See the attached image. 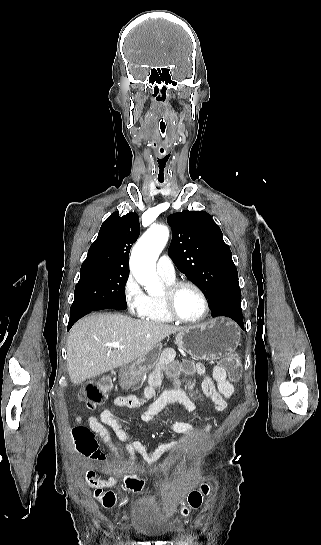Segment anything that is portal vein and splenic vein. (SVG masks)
<instances>
[{
	"label": "portal vein and splenic vein",
	"instance_id": "18ae733b",
	"mask_svg": "<svg viewBox=\"0 0 321 545\" xmlns=\"http://www.w3.org/2000/svg\"><path fill=\"white\" fill-rule=\"evenodd\" d=\"M106 347H112V349H122L124 345H120V343H116V341H113V343H106Z\"/></svg>",
	"mask_w": 321,
	"mask_h": 545
}]
</instances>
